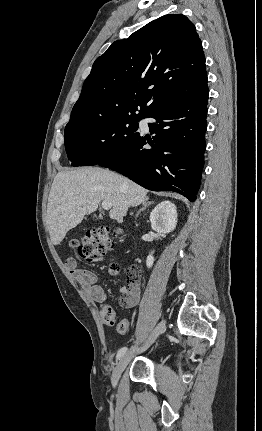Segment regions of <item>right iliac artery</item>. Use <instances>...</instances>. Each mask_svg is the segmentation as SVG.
<instances>
[{"label": "right iliac artery", "instance_id": "82829eb1", "mask_svg": "<svg viewBox=\"0 0 262 431\" xmlns=\"http://www.w3.org/2000/svg\"><path fill=\"white\" fill-rule=\"evenodd\" d=\"M126 351H127L126 347L121 348L117 353V356H116L117 360L120 359L126 353Z\"/></svg>", "mask_w": 262, "mask_h": 431}]
</instances>
